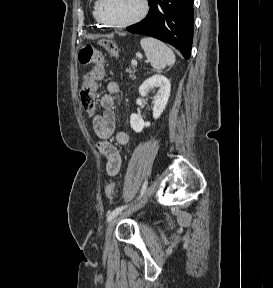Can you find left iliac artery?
Returning a JSON list of instances; mask_svg holds the SVG:
<instances>
[{
  "label": "left iliac artery",
  "instance_id": "44dca946",
  "mask_svg": "<svg viewBox=\"0 0 273 288\" xmlns=\"http://www.w3.org/2000/svg\"><path fill=\"white\" fill-rule=\"evenodd\" d=\"M147 185H148V181L146 180L142 186V189H141V192H140V196L139 198L145 193L146 191V188H147ZM125 208H127V205L125 206H120V207H117L116 209H114L109 215H108V218H107V222H110L112 219H114L122 210H124Z\"/></svg>",
  "mask_w": 273,
  "mask_h": 288
}]
</instances>
